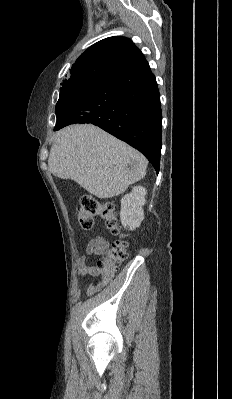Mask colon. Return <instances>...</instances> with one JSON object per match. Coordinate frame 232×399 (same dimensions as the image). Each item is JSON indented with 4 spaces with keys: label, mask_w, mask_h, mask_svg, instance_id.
<instances>
[{
    "label": "colon",
    "mask_w": 232,
    "mask_h": 399,
    "mask_svg": "<svg viewBox=\"0 0 232 399\" xmlns=\"http://www.w3.org/2000/svg\"><path fill=\"white\" fill-rule=\"evenodd\" d=\"M81 222L80 227L85 231L93 230V219L97 218V213H100L101 218H106V227L109 231L117 229V210H114V201L104 203L103 199L94 200L89 195H84L81 198ZM74 221H79V212H74ZM96 257H106V252H101L100 249L96 250ZM119 260H129V247L121 244H110L108 247V261H105V268L103 265H98L96 269V283H94V290H105V283H112L113 279V263L114 271H119ZM105 273V275H103Z\"/></svg>",
    "instance_id": "1"
}]
</instances>
